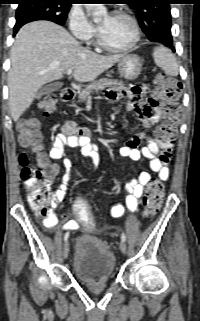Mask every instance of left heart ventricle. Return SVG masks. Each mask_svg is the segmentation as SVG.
Returning <instances> with one entry per match:
<instances>
[{
  "label": "left heart ventricle",
  "mask_w": 200,
  "mask_h": 321,
  "mask_svg": "<svg viewBox=\"0 0 200 321\" xmlns=\"http://www.w3.org/2000/svg\"><path fill=\"white\" fill-rule=\"evenodd\" d=\"M103 26L100 30L105 41L114 47L128 45L134 36L131 22L119 16H104L101 21Z\"/></svg>",
  "instance_id": "left-heart-ventricle-1"
}]
</instances>
